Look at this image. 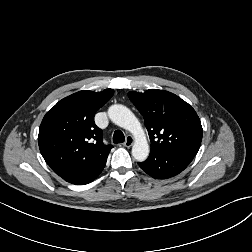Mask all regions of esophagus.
Wrapping results in <instances>:
<instances>
[{"label":"esophagus","instance_id":"1","mask_svg":"<svg viewBox=\"0 0 252 252\" xmlns=\"http://www.w3.org/2000/svg\"><path fill=\"white\" fill-rule=\"evenodd\" d=\"M134 143V138L131 135L126 137V141L124 142L125 147H131Z\"/></svg>","mask_w":252,"mask_h":252}]
</instances>
